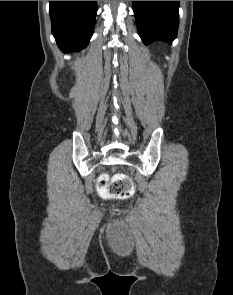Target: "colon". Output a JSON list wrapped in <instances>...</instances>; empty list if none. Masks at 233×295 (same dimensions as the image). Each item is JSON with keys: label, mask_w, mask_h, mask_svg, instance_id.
Returning a JSON list of instances; mask_svg holds the SVG:
<instances>
[{"label": "colon", "mask_w": 233, "mask_h": 295, "mask_svg": "<svg viewBox=\"0 0 233 295\" xmlns=\"http://www.w3.org/2000/svg\"><path fill=\"white\" fill-rule=\"evenodd\" d=\"M97 186L101 195L114 199H127L134 193L131 179L124 174L115 175L111 179L103 174L98 178Z\"/></svg>", "instance_id": "5ec220e1"}]
</instances>
